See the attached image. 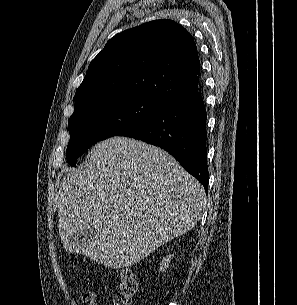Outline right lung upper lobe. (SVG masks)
<instances>
[{"label":"right lung upper lobe","instance_id":"right-lung-upper-lobe-1","mask_svg":"<svg viewBox=\"0 0 297 305\" xmlns=\"http://www.w3.org/2000/svg\"><path fill=\"white\" fill-rule=\"evenodd\" d=\"M200 61L191 34L172 20L125 30L91 61L75 94V110L120 94L142 93L169 101L198 89Z\"/></svg>","mask_w":297,"mask_h":305}]
</instances>
